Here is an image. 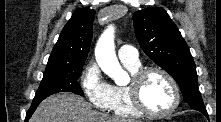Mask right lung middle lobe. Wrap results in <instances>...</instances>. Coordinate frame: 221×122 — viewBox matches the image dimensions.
I'll return each instance as SVG.
<instances>
[{"mask_svg":"<svg viewBox=\"0 0 221 122\" xmlns=\"http://www.w3.org/2000/svg\"><path fill=\"white\" fill-rule=\"evenodd\" d=\"M83 65L84 63L47 64L33 102H41L46 97L58 92H73L83 95V91L77 81Z\"/></svg>","mask_w":221,"mask_h":122,"instance_id":"dd1d6c3e","label":"right lung middle lobe"}]
</instances>
